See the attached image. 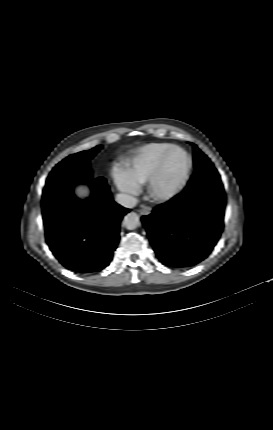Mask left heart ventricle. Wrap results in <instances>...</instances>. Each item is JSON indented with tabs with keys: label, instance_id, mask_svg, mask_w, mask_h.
I'll list each match as a JSON object with an SVG mask.
<instances>
[{
	"label": "left heart ventricle",
	"instance_id": "1",
	"mask_svg": "<svg viewBox=\"0 0 273 430\" xmlns=\"http://www.w3.org/2000/svg\"><path fill=\"white\" fill-rule=\"evenodd\" d=\"M187 167V160L179 151L172 152L166 160L160 180V188L167 190L174 186L182 177Z\"/></svg>",
	"mask_w": 273,
	"mask_h": 430
}]
</instances>
